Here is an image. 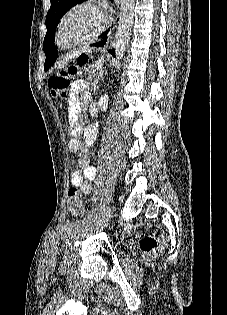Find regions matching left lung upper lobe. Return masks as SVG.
I'll return each mask as SVG.
<instances>
[{"instance_id":"obj_1","label":"left lung upper lobe","mask_w":227,"mask_h":315,"mask_svg":"<svg viewBox=\"0 0 227 315\" xmlns=\"http://www.w3.org/2000/svg\"><path fill=\"white\" fill-rule=\"evenodd\" d=\"M82 1L83 0H51V7L46 17L47 33L43 43L44 52L51 44H54L53 39L55 37V30L61 17L71 7L81 3Z\"/></svg>"}]
</instances>
